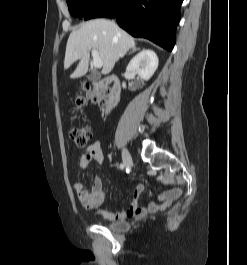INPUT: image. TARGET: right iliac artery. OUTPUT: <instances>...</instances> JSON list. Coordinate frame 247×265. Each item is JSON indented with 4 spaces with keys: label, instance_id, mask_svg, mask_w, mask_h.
<instances>
[{
    "label": "right iliac artery",
    "instance_id": "82829eb1",
    "mask_svg": "<svg viewBox=\"0 0 247 265\" xmlns=\"http://www.w3.org/2000/svg\"><path fill=\"white\" fill-rule=\"evenodd\" d=\"M120 168L123 169L124 168V165L123 164H120Z\"/></svg>",
    "mask_w": 247,
    "mask_h": 265
}]
</instances>
